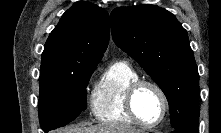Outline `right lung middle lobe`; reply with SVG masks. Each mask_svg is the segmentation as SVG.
I'll return each mask as SVG.
<instances>
[{"label":"right lung middle lobe","instance_id":"right-lung-middle-lobe-1","mask_svg":"<svg viewBox=\"0 0 221 133\" xmlns=\"http://www.w3.org/2000/svg\"><path fill=\"white\" fill-rule=\"evenodd\" d=\"M97 64L40 72L39 118L45 133L65 126L87 108L86 86Z\"/></svg>","mask_w":221,"mask_h":133}]
</instances>
